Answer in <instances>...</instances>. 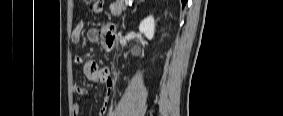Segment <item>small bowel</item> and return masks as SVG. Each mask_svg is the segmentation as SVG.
I'll use <instances>...</instances> for the list:
<instances>
[{
	"label": "small bowel",
	"instance_id": "obj_1",
	"mask_svg": "<svg viewBox=\"0 0 283 116\" xmlns=\"http://www.w3.org/2000/svg\"><path fill=\"white\" fill-rule=\"evenodd\" d=\"M94 3L95 12L102 11L103 1L96 0ZM88 39L92 42H99L106 48H113L115 45V36H114V26L112 24H106L102 28H92L87 32ZM72 41L77 43L82 39V25L79 24L72 32ZM75 63L79 66L83 67L84 77L91 82L95 83H103L106 86V96L104 99V103L99 110V116L106 115L107 112V102L109 96L112 94L114 87V80L111 77L110 71L108 68L101 66L95 60L86 61L84 57L78 55L75 58ZM73 94L76 99H80L81 97L88 94V90L81 87L80 85H75L73 88ZM80 111V107L78 102H75L73 107L74 115H78Z\"/></svg>",
	"mask_w": 283,
	"mask_h": 116
}]
</instances>
